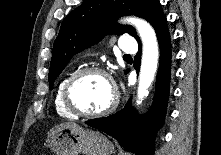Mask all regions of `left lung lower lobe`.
I'll return each instance as SVG.
<instances>
[{"mask_svg": "<svg viewBox=\"0 0 221 155\" xmlns=\"http://www.w3.org/2000/svg\"><path fill=\"white\" fill-rule=\"evenodd\" d=\"M154 28L160 46V65L156 81V93L151 109L144 116H139L131 106V99L117 113L104 118L91 119L85 123L117 139L127 151L136 155H153L155 134L164 123L166 114L170 69L171 43L167 29V20L159 4L147 20ZM140 49L135 56L134 67L139 70L141 42L136 38Z\"/></svg>", "mask_w": 221, "mask_h": 155, "instance_id": "obj_1", "label": "left lung lower lobe"}]
</instances>
